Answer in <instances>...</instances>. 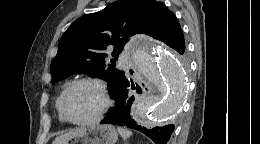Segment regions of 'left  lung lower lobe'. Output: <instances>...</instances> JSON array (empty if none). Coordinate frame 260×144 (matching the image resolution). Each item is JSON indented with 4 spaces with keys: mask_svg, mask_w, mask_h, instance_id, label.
<instances>
[{
    "mask_svg": "<svg viewBox=\"0 0 260 144\" xmlns=\"http://www.w3.org/2000/svg\"><path fill=\"white\" fill-rule=\"evenodd\" d=\"M167 45L180 54H184L185 40L182 30H180ZM131 89H135L133 81L125 78L113 95L115 106L108 110V113L105 119L101 121V124H114L135 129L150 137L156 144H166L174 131V126L169 124L149 129L141 126L136 121V107L133 105L135 98L130 94ZM141 92V89L137 87V93Z\"/></svg>",
    "mask_w": 260,
    "mask_h": 144,
    "instance_id": "1",
    "label": "left lung lower lobe"
}]
</instances>
